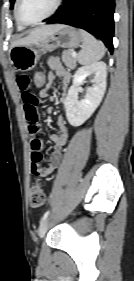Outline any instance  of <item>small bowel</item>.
Listing matches in <instances>:
<instances>
[{
    "label": "small bowel",
    "mask_w": 134,
    "mask_h": 281,
    "mask_svg": "<svg viewBox=\"0 0 134 281\" xmlns=\"http://www.w3.org/2000/svg\"><path fill=\"white\" fill-rule=\"evenodd\" d=\"M47 65L50 69V73L47 75L46 87L40 91L39 97L48 99L49 101L54 100L53 96L50 94V87L55 79V76H57L62 81V95L64 98L71 80L70 73L63 67L61 61L57 57H50L47 61ZM16 84L21 92L24 113L26 120L28 121V130L30 134L36 135L40 131V124L37 108L38 98L32 91L34 82L28 74H20L16 78ZM57 125L60 132L50 136V140L54 144V147L47 166H42L40 164L43 159V143L41 139L33 137L31 140L30 171L35 176L44 177L49 175L53 170L58 168L62 162L63 149L67 144L69 133L64 118H58Z\"/></svg>",
    "instance_id": "small-bowel-1"
}]
</instances>
